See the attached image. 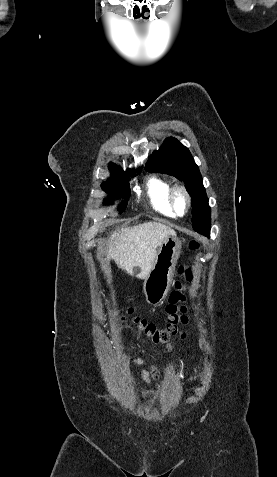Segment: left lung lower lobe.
Wrapping results in <instances>:
<instances>
[{
    "mask_svg": "<svg viewBox=\"0 0 277 477\" xmlns=\"http://www.w3.org/2000/svg\"><path fill=\"white\" fill-rule=\"evenodd\" d=\"M210 228H211V226H209V227H207V228H205V229H199V230H197V232H199V233H201V234H204V235H206V236L209 237V235H210Z\"/></svg>",
    "mask_w": 277,
    "mask_h": 477,
    "instance_id": "left-lung-lower-lobe-1",
    "label": "left lung lower lobe"
}]
</instances>
